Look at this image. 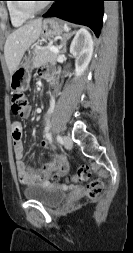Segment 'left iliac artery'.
<instances>
[{
  "instance_id": "obj_1",
  "label": "left iliac artery",
  "mask_w": 133,
  "mask_h": 253,
  "mask_svg": "<svg viewBox=\"0 0 133 253\" xmlns=\"http://www.w3.org/2000/svg\"><path fill=\"white\" fill-rule=\"evenodd\" d=\"M56 139H57V141H58L59 143L62 142V137H61L60 135H57Z\"/></svg>"
}]
</instances>
